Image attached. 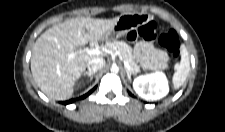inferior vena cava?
<instances>
[{
	"instance_id": "602c4592",
	"label": "inferior vena cava",
	"mask_w": 225,
	"mask_h": 132,
	"mask_svg": "<svg viewBox=\"0 0 225 132\" xmlns=\"http://www.w3.org/2000/svg\"><path fill=\"white\" fill-rule=\"evenodd\" d=\"M104 65L105 61L102 58H94L88 62L87 68L89 72H97L98 70L103 68Z\"/></svg>"
}]
</instances>
